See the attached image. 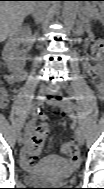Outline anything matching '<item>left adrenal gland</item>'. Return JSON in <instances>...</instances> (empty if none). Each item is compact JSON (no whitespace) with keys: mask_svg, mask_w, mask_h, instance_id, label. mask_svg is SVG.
<instances>
[{"mask_svg":"<svg viewBox=\"0 0 104 189\" xmlns=\"http://www.w3.org/2000/svg\"><path fill=\"white\" fill-rule=\"evenodd\" d=\"M79 18L82 24H86V26L89 24V20L82 13H79Z\"/></svg>","mask_w":104,"mask_h":189,"instance_id":"a2214340","label":"left adrenal gland"}]
</instances>
